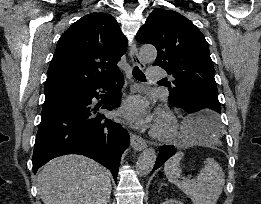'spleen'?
Returning a JSON list of instances; mask_svg holds the SVG:
<instances>
[{
    "label": "spleen",
    "mask_w": 261,
    "mask_h": 204,
    "mask_svg": "<svg viewBox=\"0 0 261 204\" xmlns=\"http://www.w3.org/2000/svg\"><path fill=\"white\" fill-rule=\"evenodd\" d=\"M201 120L197 118L196 121L182 127L188 145L208 146L213 141V136L201 130ZM182 156L183 153L178 152L165 163L164 172L167 179L183 191L193 204H216L225 183V174L220 165L213 158H207L204 161V168L195 179L179 180L181 176L179 164Z\"/></svg>",
    "instance_id": "1"
}]
</instances>
